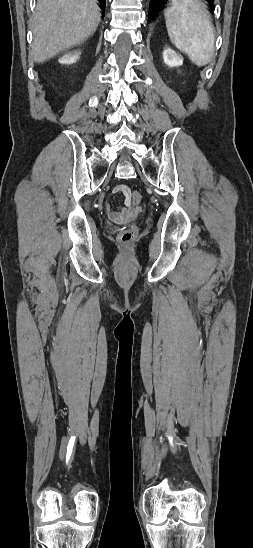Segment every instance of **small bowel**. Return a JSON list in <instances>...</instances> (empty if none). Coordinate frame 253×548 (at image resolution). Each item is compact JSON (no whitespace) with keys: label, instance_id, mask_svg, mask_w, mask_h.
I'll list each match as a JSON object with an SVG mask.
<instances>
[{"label":"small bowel","instance_id":"1","mask_svg":"<svg viewBox=\"0 0 253 548\" xmlns=\"http://www.w3.org/2000/svg\"><path fill=\"white\" fill-rule=\"evenodd\" d=\"M114 194H122L125 198L124 206L116 211H111L107 208L108 218L117 224H122L130 221L136 214V211L132 208L130 199V190L126 185H117L113 189Z\"/></svg>","mask_w":253,"mask_h":548}]
</instances>
